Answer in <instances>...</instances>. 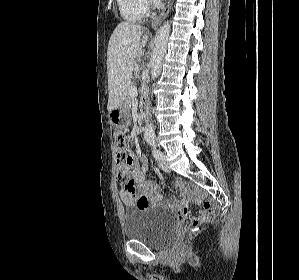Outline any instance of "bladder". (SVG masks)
I'll use <instances>...</instances> for the list:
<instances>
[{
    "mask_svg": "<svg viewBox=\"0 0 299 280\" xmlns=\"http://www.w3.org/2000/svg\"><path fill=\"white\" fill-rule=\"evenodd\" d=\"M176 227L177 221L172 211L160 206L127 210L123 217L125 237L154 248L166 246Z\"/></svg>",
    "mask_w": 299,
    "mask_h": 280,
    "instance_id": "31cf9c89",
    "label": "bladder"
}]
</instances>
